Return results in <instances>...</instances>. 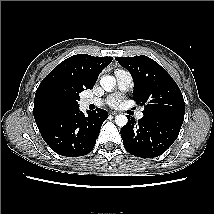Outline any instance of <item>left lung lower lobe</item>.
Wrapping results in <instances>:
<instances>
[{
    "label": "left lung lower lobe",
    "instance_id": "1",
    "mask_svg": "<svg viewBox=\"0 0 214 214\" xmlns=\"http://www.w3.org/2000/svg\"><path fill=\"white\" fill-rule=\"evenodd\" d=\"M183 121L162 116L144 115L136 121L128 116L121 129L125 149L132 155L152 158L162 155L176 140Z\"/></svg>",
    "mask_w": 214,
    "mask_h": 214
}]
</instances>
